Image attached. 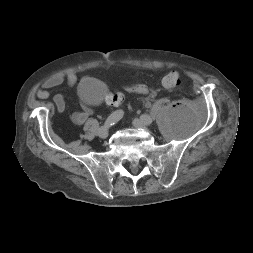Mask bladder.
<instances>
[{
    "label": "bladder",
    "mask_w": 253,
    "mask_h": 253,
    "mask_svg": "<svg viewBox=\"0 0 253 253\" xmlns=\"http://www.w3.org/2000/svg\"><path fill=\"white\" fill-rule=\"evenodd\" d=\"M107 93L105 84L96 78L83 79L78 85L79 98L88 105L101 103Z\"/></svg>",
    "instance_id": "bladder-1"
}]
</instances>
